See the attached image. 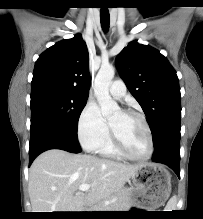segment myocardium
<instances>
[{
    "label": "myocardium",
    "instance_id": "f54148a6",
    "mask_svg": "<svg viewBox=\"0 0 203 219\" xmlns=\"http://www.w3.org/2000/svg\"><path fill=\"white\" fill-rule=\"evenodd\" d=\"M123 112L127 113V114L134 115V116L138 117L142 121V123H143V125L145 127V130L147 132L148 152L143 157H137V156H134L133 154H131L127 150V148L125 147V145L123 144L121 139L119 138V136L116 133V131L113 128V126L110 124L111 138H112V141H113V144H114L115 148L118 150V152L121 155H123L124 157H126V158H128L130 160L137 161V162H145V161L150 160L152 158V156H153V153H154V141H153L152 131H151L150 125H149L146 117L142 113H140V112H138L136 110H133V109H128V110H125Z\"/></svg>",
    "mask_w": 203,
    "mask_h": 219
}]
</instances>
